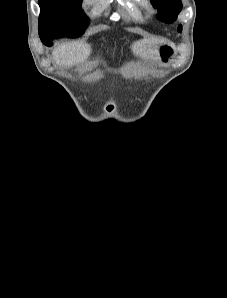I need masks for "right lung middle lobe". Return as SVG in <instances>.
<instances>
[{"label": "right lung middle lobe", "instance_id": "1", "mask_svg": "<svg viewBox=\"0 0 227 298\" xmlns=\"http://www.w3.org/2000/svg\"><path fill=\"white\" fill-rule=\"evenodd\" d=\"M82 0H39V36L52 34L76 37L84 33L89 19L81 9Z\"/></svg>", "mask_w": 227, "mask_h": 298}]
</instances>
